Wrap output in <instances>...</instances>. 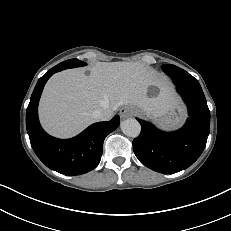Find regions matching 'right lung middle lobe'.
I'll return each instance as SVG.
<instances>
[{
    "instance_id": "obj_1",
    "label": "right lung middle lobe",
    "mask_w": 231,
    "mask_h": 231,
    "mask_svg": "<svg viewBox=\"0 0 231 231\" xmlns=\"http://www.w3.org/2000/svg\"><path fill=\"white\" fill-rule=\"evenodd\" d=\"M85 65H86V63H84L78 59H70V60H67V61H64V62L58 64L55 67L56 68L63 67L64 69H67V68L81 67V66H85Z\"/></svg>"
}]
</instances>
